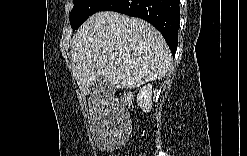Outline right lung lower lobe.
<instances>
[{
  "label": "right lung lower lobe",
  "mask_w": 247,
  "mask_h": 156,
  "mask_svg": "<svg viewBox=\"0 0 247 156\" xmlns=\"http://www.w3.org/2000/svg\"><path fill=\"white\" fill-rule=\"evenodd\" d=\"M99 11H116L150 22L161 32L172 55L177 49L179 0H108Z\"/></svg>",
  "instance_id": "1"
}]
</instances>
